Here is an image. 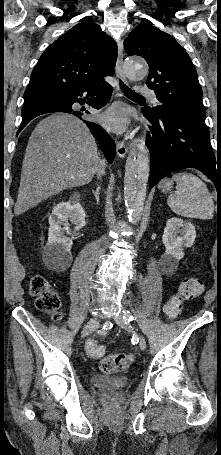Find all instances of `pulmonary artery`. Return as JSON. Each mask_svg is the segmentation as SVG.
<instances>
[{
    "label": "pulmonary artery",
    "instance_id": "1",
    "mask_svg": "<svg viewBox=\"0 0 221 455\" xmlns=\"http://www.w3.org/2000/svg\"><path fill=\"white\" fill-rule=\"evenodd\" d=\"M139 93L141 96H147V97H152L154 95L153 90L146 86H141L139 88Z\"/></svg>",
    "mask_w": 221,
    "mask_h": 455
}]
</instances>
